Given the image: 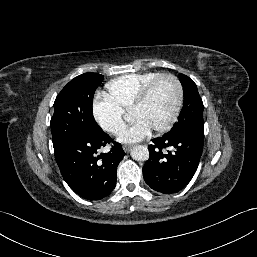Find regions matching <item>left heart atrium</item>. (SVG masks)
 <instances>
[{"label": "left heart atrium", "mask_w": 257, "mask_h": 257, "mask_svg": "<svg viewBox=\"0 0 257 257\" xmlns=\"http://www.w3.org/2000/svg\"><path fill=\"white\" fill-rule=\"evenodd\" d=\"M152 129L143 120H135L132 125L124 129L118 140L123 143H136L146 138Z\"/></svg>", "instance_id": "39dd6f15"}]
</instances>
